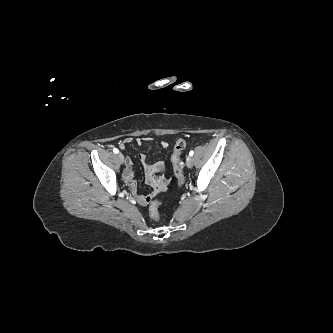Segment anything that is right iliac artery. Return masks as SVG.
<instances>
[{
	"mask_svg": "<svg viewBox=\"0 0 333 333\" xmlns=\"http://www.w3.org/2000/svg\"><path fill=\"white\" fill-rule=\"evenodd\" d=\"M113 152H114L115 154H117V153L119 152V150H118L117 148H114V149H113Z\"/></svg>",
	"mask_w": 333,
	"mask_h": 333,
	"instance_id": "1",
	"label": "right iliac artery"
}]
</instances>
